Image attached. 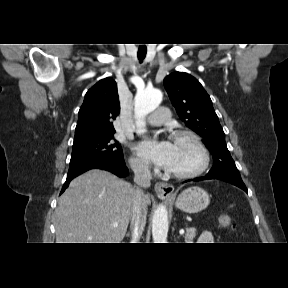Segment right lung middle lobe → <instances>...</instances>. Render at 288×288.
I'll list each match as a JSON object with an SVG mask.
<instances>
[{"label":"right lung middle lobe","mask_w":288,"mask_h":288,"mask_svg":"<svg viewBox=\"0 0 288 288\" xmlns=\"http://www.w3.org/2000/svg\"><path fill=\"white\" fill-rule=\"evenodd\" d=\"M114 134L95 137L73 143L70 163L91 157H106L114 161H123L122 148L114 140Z\"/></svg>","instance_id":"right-lung-middle-lobe-1"}]
</instances>
